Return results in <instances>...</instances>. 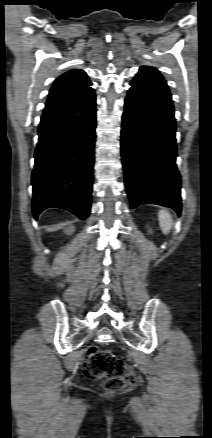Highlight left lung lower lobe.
<instances>
[{
	"label": "left lung lower lobe",
	"instance_id": "left-lung-lower-lobe-1",
	"mask_svg": "<svg viewBox=\"0 0 212 438\" xmlns=\"http://www.w3.org/2000/svg\"><path fill=\"white\" fill-rule=\"evenodd\" d=\"M122 116L121 153L131 208L158 204L181 213L176 123L167 86L134 78Z\"/></svg>",
	"mask_w": 212,
	"mask_h": 438
}]
</instances>
